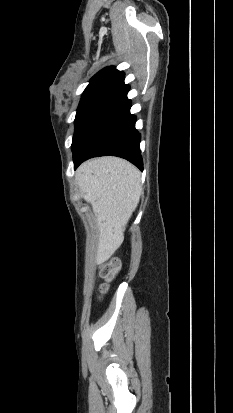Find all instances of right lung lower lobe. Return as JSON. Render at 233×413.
<instances>
[{
    "mask_svg": "<svg viewBox=\"0 0 233 413\" xmlns=\"http://www.w3.org/2000/svg\"><path fill=\"white\" fill-rule=\"evenodd\" d=\"M130 89L120 78L91 114L72 148L74 168L97 156L113 155L127 159L143 169L140 134L135 129L136 117L130 114Z\"/></svg>",
    "mask_w": 233,
    "mask_h": 413,
    "instance_id": "obj_1",
    "label": "right lung lower lobe"
}]
</instances>
